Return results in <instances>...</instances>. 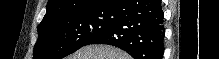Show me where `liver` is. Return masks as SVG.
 Segmentation results:
<instances>
[{
	"label": "liver",
	"instance_id": "6515ba94",
	"mask_svg": "<svg viewBox=\"0 0 219 59\" xmlns=\"http://www.w3.org/2000/svg\"><path fill=\"white\" fill-rule=\"evenodd\" d=\"M66 59H131L124 51L103 45L85 46Z\"/></svg>",
	"mask_w": 219,
	"mask_h": 59
}]
</instances>
